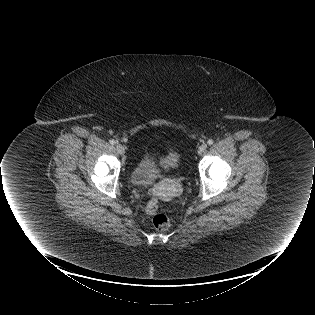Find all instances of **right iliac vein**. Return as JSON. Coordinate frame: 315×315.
<instances>
[{"label": "right iliac vein", "mask_w": 315, "mask_h": 315, "mask_svg": "<svg viewBox=\"0 0 315 315\" xmlns=\"http://www.w3.org/2000/svg\"><path fill=\"white\" fill-rule=\"evenodd\" d=\"M117 151L123 155L125 153V148L121 144L116 145Z\"/></svg>", "instance_id": "right-iliac-vein-1"}]
</instances>
